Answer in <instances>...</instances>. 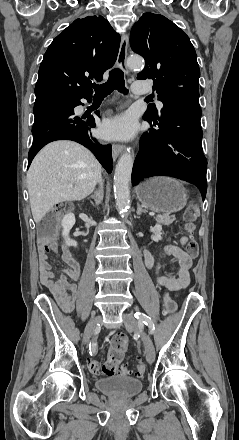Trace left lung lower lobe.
<instances>
[{
    "mask_svg": "<svg viewBox=\"0 0 239 440\" xmlns=\"http://www.w3.org/2000/svg\"><path fill=\"white\" fill-rule=\"evenodd\" d=\"M160 129L141 137L132 170V183L151 176H171L195 184L205 199L207 160L202 151L198 100L178 99L166 104L157 118L143 116Z\"/></svg>",
    "mask_w": 239,
    "mask_h": 440,
    "instance_id": "obj_1",
    "label": "left lung lower lobe"
}]
</instances>
